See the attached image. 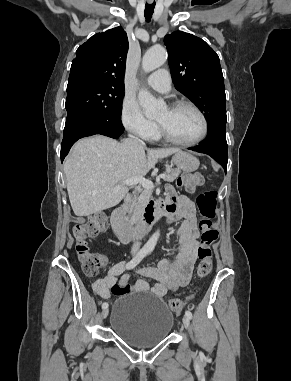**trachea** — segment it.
Returning a JSON list of instances; mask_svg holds the SVG:
<instances>
[{
	"instance_id": "3493384b",
	"label": "trachea",
	"mask_w": 291,
	"mask_h": 381,
	"mask_svg": "<svg viewBox=\"0 0 291 381\" xmlns=\"http://www.w3.org/2000/svg\"><path fill=\"white\" fill-rule=\"evenodd\" d=\"M154 8H155V2L152 4L146 3L144 15L147 21H150V19L152 18Z\"/></svg>"
}]
</instances>
